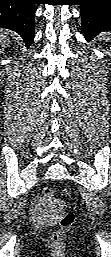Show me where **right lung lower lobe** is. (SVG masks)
Masks as SVG:
<instances>
[{
    "label": "right lung lower lobe",
    "instance_id": "obj_1",
    "mask_svg": "<svg viewBox=\"0 0 111 257\" xmlns=\"http://www.w3.org/2000/svg\"><path fill=\"white\" fill-rule=\"evenodd\" d=\"M35 0H0V27L17 32L26 46L34 39Z\"/></svg>",
    "mask_w": 111,
    "mask_h": 257
}]
</instances>
